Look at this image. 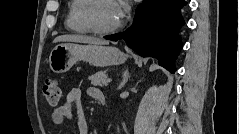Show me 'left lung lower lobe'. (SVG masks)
Returning a JSON list of instances; mask_svg holds the SVG:
<instances>
[{
    "mask_svg": "<svg viewBox=\"0 0 239 134\" xmlns=\"http://www.w3.org/2000/svg\"><path fill=\"white\" fill-rule=\"evenodd\" d=\"M185 5L184 0H146L138 7L130 28L105 39H123L136 53L156 57L161 66L174 73V61L182 48L178 31L185 24L180 10Z\"/></svg>",
    "mask_w": 239,
    "mask_h": 134,
    "instance_id": "1",
    "label": "left lung lower lobe"
}]
</instances>
